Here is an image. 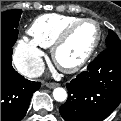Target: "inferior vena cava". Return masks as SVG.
Returning a JSON list of instances; mask_svg holds the SVG:
<instances>
[{
    "instance_id": "inferior-vena-cava-1",
    "label": "inferior vena cava",
    "mask_w": 121,
    "mask_h": 121,
    "mask_svg": "<svg viewBox=\"0 0 121 121\" xmlns=\"http://www.w3.org/2000/svg\"><path fill=\"white\" fill-rule=\"evenodd\" d=\"M18 71L29 78H36L43 74L45 66L41 58L29 64H21L17 66Z\"/></svg>"
}]
</instances>
